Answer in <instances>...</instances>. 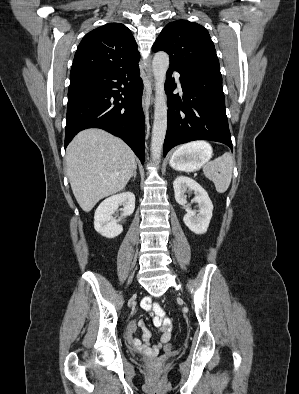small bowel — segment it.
I'll return each instance as SVG.
<instances>
[{
    "mask_svg": "<svg viewBox=\"0 0 299 394\" xmlns=\"http://www.w3.org/2000/svg\"><path fill=\"white\" fill-rule=\"evenodd\" d=\"M141 307L150 312L153 320L154 326L157 328L160 337L159 341L155 345H150L148 343L150 339V332L143 321L136 323L131 321L127 327L128 340L132 348L142 354L152 357L159 353V351L170 341L172 332V321L169 317L165 315L162 307L157 303L152 301L151 298L147 297L141 302ZM137 327L142 331V337H135V332Z\"/></svg>",
    "mask_w": 299,
    "mask_h": 394,
    "instance_id": "c3829d8e",
    "label": "small bowel"
}]
</instances>
